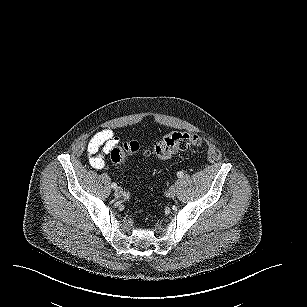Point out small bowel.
I'll return each instance as SVG.
<instances>
[{
  "mask_svg": "<svg viewBox=\"0 0 307 307\" xmlns=\"http://www.w3.org/2000/svg\"><path fill=\"white\" fill-rule=\"evenodd\" d=\"M119 138L111 129H103L97 132L87 144V156L89 164L94 169H102L105 166V155L117 146Z\"/></svg>",
  "mask_w": 307,
  "mask_h": 307,
  "instance_id": "1",
  "label": "small bowel"
}]
</instances>
